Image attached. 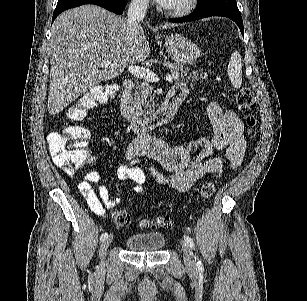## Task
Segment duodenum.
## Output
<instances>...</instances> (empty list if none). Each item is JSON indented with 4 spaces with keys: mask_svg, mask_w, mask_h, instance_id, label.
Here are the masks:
<instances>
[{
    "mask_svg": "<svg viewBox=\"0 0 307 301\" xmlns=\"http://www.w3.org/2000/svg\"><path fill=\"white\" fill-rule=\"evenodd\" d=\"M133 87L134 83L132 80L127 79L124 81L120 97V112L136 133L149 132L171 121L184 100L183 94L171 90L160 107L152 115L141 117L135 111L132 104Z\"/></svg>",
    "mask_w": 307,
    "mask_h": 301,
    "instance_id": "1",
    "label": "duodenum"
}]
</instances>
